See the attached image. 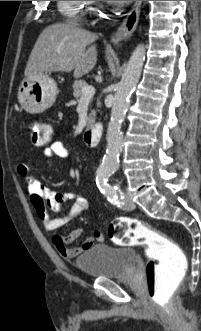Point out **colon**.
<instances>
[{
  "label": "colon",
  "instance_id": "1",
  "mask_svg": "<svg viewBox=\"0 0 201 331\" xmlns=\"http://www.w3.org/2000/svg\"><path fill=\"white\" fill-rule=\"evenodd\" d=\"M29 130L34 145L44 146L53 141V128L46 121H32ZM108 236L117 245L146 246L149 257L145 267L147 295L156 306L168 307L187 269V260L180 247L145 223L127 217L113 220Z\"/></svg>",
  "mask_w": 201,
  "mask_h": 331
}]
</instances>
